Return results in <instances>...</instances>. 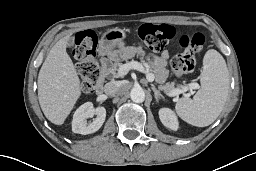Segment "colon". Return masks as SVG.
<instances>
[{
	"instance_id": "colon-1",
	"label": "colon",
	"mask_w": 256,
	"mask_h": 171,
	"mask_svg": "<svg viewBox=\"0 0 256 171\" xmlns=\"http://www.w3.org/2000/svg\"><path fill=\"white\" fill-rule=\"evenodd\" d=\"M138 35L141 42L153 51L164 50L175 36V28L170 24L145 23L139 27ZM205 37L201 32L182 35L179 44L182 52L176 54L171 61L172 70L179 80L194 72L196 54L202 49ZM74 55L79 60L78 72L81 78V89L84 93H91L100 78V67L95 60L96 35L91 30H85L76 36Z\"/></svg>"
}]
</instances>
